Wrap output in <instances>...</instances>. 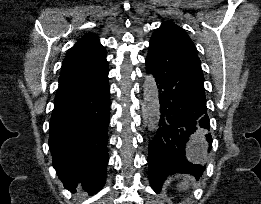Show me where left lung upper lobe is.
Here are the masks:
<instances>
[{
	"label": "left lung upper lobe",
	"mask_w": 261,
	"mask_h": 204,
	"mask_svg": "<svg viewBox=\"0 0 261 204\" xmlns=\"http://www.w3.org/2000/svg\"><path fill=\"white\" fill-rule=\"evenodd\" d=\"M159 33H168V34L177 35L181 37L185 42H187L194 49V43L186 34V32L181 27L177 26L172 22H163L162 25L154 32V34H159Z\"/></svg>",
	"instance_id": "1"
}]
</instances>
